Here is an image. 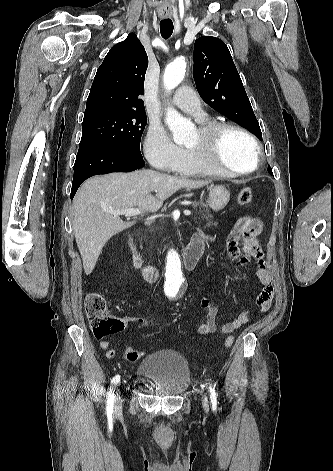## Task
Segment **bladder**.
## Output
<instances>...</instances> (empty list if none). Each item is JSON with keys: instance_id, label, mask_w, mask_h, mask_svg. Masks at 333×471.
Listing matches in <instances>:
<instances>
[{"instance_id": "1", "label": "bladder", "mask_w": 333, "mask_h": 471, "mask_svg": "<svg viewBox=\"0 0 333 471\" xmlns=\"http://www.w3.org/2000/svg\"><path fill=\"white\" fill-rule=\"evenodd\" d=\"M137 376L152 382L154 394L167 398L180 396L191 383L188 361L174 350H159L144 357Z\"/></svg>"}]
</instances>
